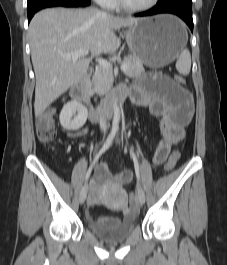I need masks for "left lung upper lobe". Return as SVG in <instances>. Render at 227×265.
I'll use <instances>...</instances> for the list:
<instances>
[{"label": "left lung upper lobe", "mask_w": 227, "mask_h": 265, "mask_svg": "<svg viewBox=\"0 0 227 265\" xmlns=\"http://www.w3.org/2000/svg\"><path fill=\"white\" fill-rule=\"evenodd\" d=\"M167 3H185L192 4V0H159L157 5L167 4Z\"/></svg>", "instance_id": "left-lung-upper-lobe-1"}]
</instances>
